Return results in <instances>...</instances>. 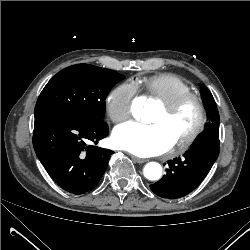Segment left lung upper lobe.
Masks as SVG:
<instances>
[{
  "mask_svg": "<svg viewBox=\"0 0 250 250\" xmlns=\"http://www.w3.org/2000/svg\"><path fill=\"white\" fill-rule=\"evenodd\" d=\"M201 97L210 121L205 125V131L219 128V113L211 92L204 86L201 87Z\"/></svg>",
  "mask_w": 250,
  "mask_h": 250,
  "instance_id": "5c2ea615",
  "label": "left lung upper lobe"
}]
</instances>
